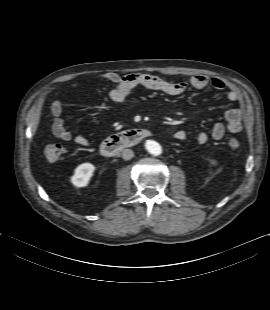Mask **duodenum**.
<instances>
[{"instance_id":"410a0bca","label":"duodenum","mask_w":270,"mask_h":310,"mask_svg":"<svg viewBox=\"0 0 270 310\" xmlns=\"http://www.w3.org/2000/svg\"><path fill=\"white\" fill-rule=\"evenodd\" d=\"M149 135L150 131L143 128L120 132L103 140L100 146V152L106 157L114 156L126 148L137 145Z\"/></svg>"}]
</instances>
